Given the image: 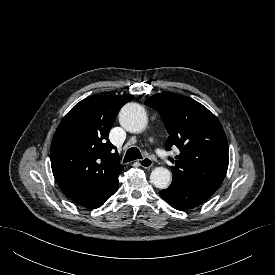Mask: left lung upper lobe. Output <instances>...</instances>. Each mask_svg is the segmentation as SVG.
<instances>
[{"instance_id":"left-lung-upper-lobe-1","label":"left lung upper lobe","mask_w":275,"mask_h":275,"mask_svg":"<svg viewBox=\"0 0 275 275\" xmlns=\"http://www.w3.org/2000/svg\"><path fill=\"white\" fill-rule=\"evenodd\" d=\"M145 104L160 115L169 133L165 149L177 146L180 154L171 166L173 181L192 182L216 191L228 168V143L225 132L206 107L186 96L159 93Z\"/></svg>"}]
</instances>
